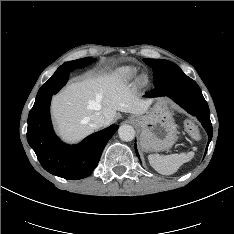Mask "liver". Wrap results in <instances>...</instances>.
I'll return each mask as SVG.
<instances>
[{"mask_svg": "<svg viewBox=\"0 0 234 234\" xmlns=\"http://www.w3.org/2000/svg\"><path fill=\"white\" fill-rule=\"evenodd\" d=\"M152 103L142 99L115 73L86 78L69 84L54 96L51 112L59 135L68 142H78L93 132L90 116L100 112L105 126L110 125L116 111L144 114Z\"/></svg>", "mask_w": 234, "mask_h": 234, "instance_id": "6515ba94", "label": "liver"}]
</instances>
